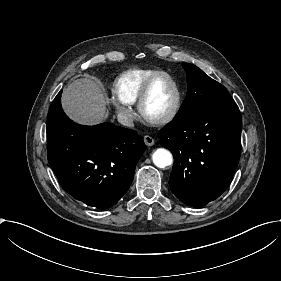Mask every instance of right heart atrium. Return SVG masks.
Segmentation results:
<instances>
[{"label":"right heart atrium","mask_w":281,"mask_h":281,"mask_svg":"<svg viewBox=\"0 0 281 281\" xmlns=\"http://www.w3.org/2000/svg\"><path fill=\"white\" fill-rule=\"evenodd\" d=\"M116 112L124 122H131L135 118L134 110L119 100H113Z\"/></svg>","instance_id":"right-heart-atrium-1"}]
</instances>
